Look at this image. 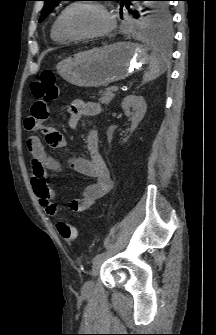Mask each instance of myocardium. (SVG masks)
Listing matches in <instances>:
<instances>
[{
    "instance_id": "myocardium-1",
    "label": "myocardium",
    "mask_w": 216,
    "mask_h": 335,
    "mask_svg": "<svg viewBox=\"0 0 216 335\" xmlns=\"http://www.w3.org/2000/svg\"><path fill=\"white\" fill-rule=\"evenodd\" d=\"M81 5H93L95 7H97L98 9H100L102 11V13L104 14V16L106 17L107 21H108V25L105 29L98 31V32H94V33H86V34H75L70 32L65 25V18L66 15L75 7L77 6H81ZM58 27L60 32L69 40H86V39H97V38H101L104 37L106 35H108L115 27V19L114 17L111 15V13L108 11V9L101 3L97 2V1H78V2H73L71 4H69L66 8H64L62 10V12L59 15L58 18Z\"/></svg>"
}]
</instances>
